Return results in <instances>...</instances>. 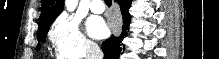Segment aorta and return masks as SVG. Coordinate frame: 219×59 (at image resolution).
<instances>
[{"label": "aorta", "mask_w": 219, "mask_h": 59, "mask_svg": "<svg viewBox=\"0 0 219 59\" xmlns=\"http://www.w3.org/2000/svg\"><path fill=\"white\" fill-rule=\"evenodd\" d=\"M77 5H78V0H66L65 1V6L67 10L70 12L74 11Z\"/></svg>", "instance_id": "obj_1"}]
</instances>
